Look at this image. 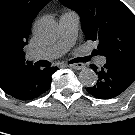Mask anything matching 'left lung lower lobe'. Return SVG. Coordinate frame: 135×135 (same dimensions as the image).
<instances>
[{"instance_id": "1", "label": "left lung lower lobe", "mask_w": 135, "mask_h": 135, "mask_svg": "<svg viewBox=\"0 0 135 135\" xmlns=\"http://www.w3.org/2000/svg\"><path fill=\"white\" fill-rule=\"evenodd\" d=\"M90 67L98 75L95 85L86 88V91L99 99H111L124 92L135 80V75L121 70L113 65L105 64L98 67L91 64Z\"/></svg>"}]
</instances>
